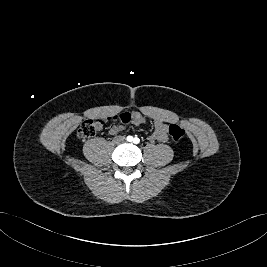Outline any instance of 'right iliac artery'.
Returning <instances> with one entry per match:
<instances>
[{
    "mask_svg": "<svg viewBox=\"0 0 267 267\" xmlns=\"http://www.w3.org/2000/svg\"><path fill=\"white\" fill-rule=\"evenodd\" d=\"M127 141H128V142H132V141H133V137H132V136H128V137H127Z\"/></svg>",
    "mask_w": 267,
    "mask_h": 267,
    "instance_id": "82829eb1",
    "label": "right iliac artery"
}]
</instances>
